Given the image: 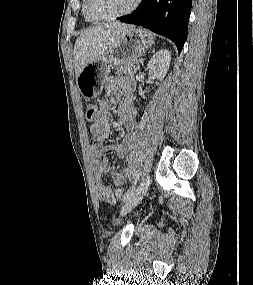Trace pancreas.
I'll return each instance as SVG.
<instances>
[{
	"label": "pancreas",
	"instance_id": "obj_1",
	"mask_svg": "<svg viewBox=\"0 0 253 285\" xmlns=\"http://www.w3.org/2000/svg\"><path fill=\"white\" fill-rule=\"evenodd\" d=\"M136 65V61H133L131 63H127L124 65H119L114 67L115 73L117 75H134L136 73L134 66Z\"/></svg>",
	"mask_w": 253,
	"mask_h": 285
}]
</instances>
